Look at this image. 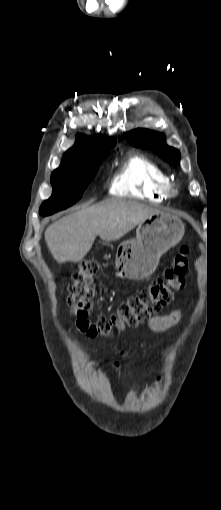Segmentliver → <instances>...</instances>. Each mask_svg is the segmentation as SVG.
I'll return each mask as SVG.
<instances>
[{
	"instance_id": "obj_1",
	"label": "liver",
	"mask_w": 221,
	"mask_h": 510,
	"mask_svg": "<svg viewBox=\"0 0 221 510\" xmlns=\"http://www.w3.org/2000/svg\"><path fill=\"white\" fill-rule=\"evenodd\" d=\"M159 212L136 201L108 199L60 218L45 230V241L59 264L76 263L90 251L97 235L116 241Z\"/></svg>"
}]
</instances>
